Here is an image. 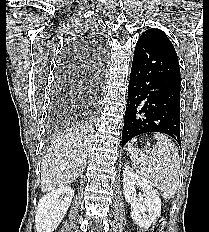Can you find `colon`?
I'll return each instance as SVG.
<instances>
[{"mask_svg": "<svg viewBox=\"0 0 209 232\" xmlns=\"http://www.w3.org/2000/svg\"><path fill=\"white\" fill-rule=\"evenodd\" d=\"M165 225V220H160L154 232H161L159 229Z\"/></svg>", "mask_w": 209, "mask_h": 232, "instance_id": "5ec220e1", "label": "colon"}]
</instances>
